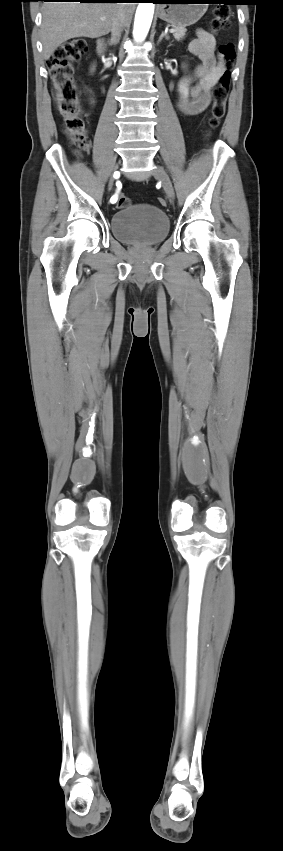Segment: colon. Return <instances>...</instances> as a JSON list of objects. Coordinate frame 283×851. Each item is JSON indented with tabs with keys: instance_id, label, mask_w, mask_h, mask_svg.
Returning a JSON list of instances; mask_svg holds the SVG:
<instances>
[{
	"instance_id": "colon-1",
	"label": "colon",
	"mask_w": 283,
	"mask_h": 851,
	"mask_svg": "<svg viewBox=\"0 0 283 851\" xmlns=\"http://www.w3.org/2000/svg\"><path fill=\"white\" fill-rule=\"evenodd\" d=\"M231 9L228 6H218L214 10L213 27L216 30H228L231 24ZM87 51V42L83 38H73L62 43L47 61V68L52 81L58 112L63 119V131L77 145L78 155L90 147L85 122L79 108V95L74 81L73 64L79 61ZM219 52L224 64V72L220 76L218 86L214 90L210 128H216L226 112L227 98L230 90V65L236 57L235 47L230 42L219 46ZM130 199L124 195L117 196L116 207L129 206ZM161 206L166 205L163 198H158Z\"/></svg>"
}]
</instances>
